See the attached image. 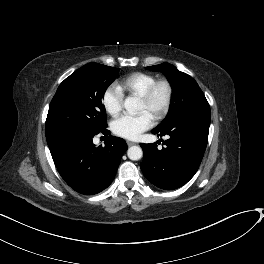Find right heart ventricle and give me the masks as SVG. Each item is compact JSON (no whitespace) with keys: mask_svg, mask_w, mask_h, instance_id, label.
I'll use <instances>...</instances> for the list:
<instances>
[{"mask_svg":"<svg viewBox=\"0 0 264 264\" xmlns=\"http://www.w3.org/2000/svg\"><path fill=\"white\" fill-rule=\"evenodd\" d=\"M156 80L157 77L153 74L135 72L125 77L119 83V88L130 95L141 96Z\"/></svg>","mask_w":264,"mask_h":264,"instance_id":"e07e8e85","label":"right heart ventricle"}]
</instances>
